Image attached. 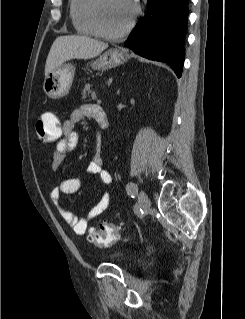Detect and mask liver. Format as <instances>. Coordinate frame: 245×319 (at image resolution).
Instances as JSON below:
<instances>
[{"instance_id":"1","label":"liver","mask_w":245,"mask_h":319,"mask_svg":"<svg viewBox=\"0 0 245 319\" xmlns=\"http://www.w3.org/2000/svg\"><path fill=\"white\" fill-rule=\"evenodd\" d=\"M108 48V44L85 35L59 36L53 42L45 65V76L70 59H90Z\"/></svg>"}]
</instances>
